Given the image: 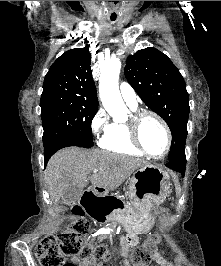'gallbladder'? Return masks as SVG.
<instances>
[{"label": "gallbladder", "mask_w": 221, "mask_h": 266, "mask_svg": "<svg viewBox=\"0 0 221 266\" xmlns=\"http://www.w3.org/2000/svg\"><path fill=\"white\" fill-rule=\"evenodd\" d=\"M83 193V188L77 186L68 187L61 197L63 204L69 205L77 202Z\"/></svg>", "instance_id": "1"}]
</instances>
